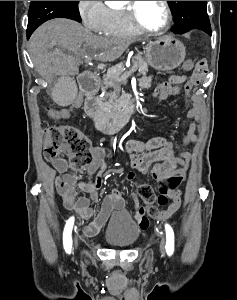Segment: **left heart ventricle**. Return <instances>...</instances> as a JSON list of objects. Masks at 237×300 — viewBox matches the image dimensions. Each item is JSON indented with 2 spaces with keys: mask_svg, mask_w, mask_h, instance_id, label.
I'll list each match as a JSON object with an SVG mask.
<instances>
[{
  "mask_svg": "<svg viewBox=\"0 0 237 300\" xmlns=\"http://www.w3.org/2000/svg\"><path fill=\"white\" fill-rule=\"evenodd\" d=\"M138 18L147 28L161 29L166 20V12L162 1H138Z\"/></svg>",
  "mask_w": 237,
  "mask_h": 300,
  "instance_id": "b2bd125f",
  "label": "left heart ventricle"
}]
</instances>
